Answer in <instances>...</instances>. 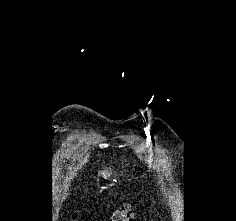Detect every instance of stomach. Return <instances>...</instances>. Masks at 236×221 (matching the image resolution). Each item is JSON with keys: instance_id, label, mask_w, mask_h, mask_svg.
<instances>
[{"instance_id": "1", "label": "stomach", "mask_w": 236, "mask_h": 221, "mask_svg": "<svg viewBox=\"0 0 236 221\" xmlns=\"http://www.w3.org/2000/svg\"><path fill=\"white\" fill-rule=\"evenodd\" d=\"M112 169L111 167L104 166L99 172H98V178L108 179L112 175Z\"/></svg>"}]
</instances>
